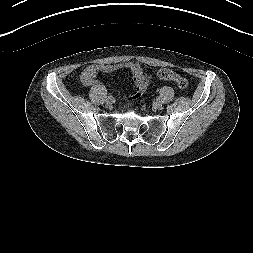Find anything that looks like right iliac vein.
Returning a JSON list of instances; mask_svg holds the SVG:
<instances>
[{
  "instance_id": "63e3f726",
  "label": "right iliac vein",
  "mask_w": 253,
  "mask_h": 253,
  "mask_svg": "<svg viewBox=\"0 0 253 253\" xmlns=\"http://www.w3.org/2000/svg\"><path fill=\"white\" fill-rule=\"evenodd\" d=\"M108 106H111L113 104V100L111 98L107 99L106 101Z\"/></svg>"
}]
</instances>
